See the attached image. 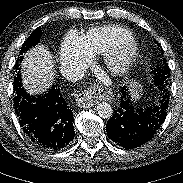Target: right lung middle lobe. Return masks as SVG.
Segmentation results:
<instances>
[{
  "mask_svg": "<svg viewBox=\"0 0 183 183\" xmlns=\"http://www.w3.org/2000/svg\"><path fill=\"white\" fill-rule=\"evenodd\" d=\"M41 35H42V31H41L40 27L36 28L33 31V33L28 37V39L24 42V44L22 45L20 53L21 54L26 53V51L28 49H30L31 47H34L39 42ZM22 59H23V57H21L19 60H17V62L15 64L16 75H19V73H20L19 61L21 62Z\"/></svg>",
  "mask_w": 183,
  "mask_h": 183,
  "instance_id": "right-lung-middle-lobe-1",
  "label": "right lung middle lobe"
}]
</instances>
